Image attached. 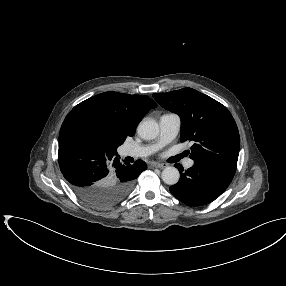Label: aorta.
Segmentation results:
<instances>
[{
	"label": "aorta",
	"instance_id": "obj_1",
	"mask_svg": "<svg viewBox=\"0 0 286 286\" xmlns=\"http://www.w3.org/2000/svg\"><path fill=\"white\" fill-rule=\"evenodd\" d=\"M138 134L141 138L146 140L154 139L159 134V125L153 119L142 120L137 128ZM162 180L168 185H174L179 181L180 174L177 168L168 166L162 171Z\"/></svg>",
	"mask_w": 286,
	"mask_h": 286
}]
</instances>
